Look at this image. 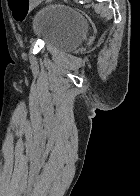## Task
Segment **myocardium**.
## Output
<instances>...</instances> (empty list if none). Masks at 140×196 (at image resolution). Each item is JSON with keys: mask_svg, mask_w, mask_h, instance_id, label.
Listing matches in <instances>:
<instances>
[{"mask_svg": "<svg viewBox=\"0 0 140 196\" xmlns=\"http://www.w3.org/2000/svg\"><path fill=\"white\" fill-rule=\"evenodd\" d=\"M34 192H67V191H34Z\"/></svg>", "mask_w": 140, "mask_h": 196, "instance_id": "f54148a6", "label": "myocardium"}]
</instances>
